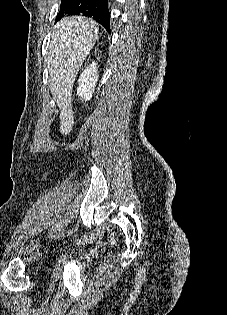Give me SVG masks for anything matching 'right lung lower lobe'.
<instances>
[{"mask_svg":"<svg viewBox=\"0 0 227 315\" xmlns=\"http://www.w3.org/2000/svg\"><path fill=\"white\" fill-rule=\"evenodd\" d=\"M72 15L91 17L110 32L108 0H61L56 22L63 17Z\"/></svg>","mask_w":227,"mask_h":315,"instance_id":"98d812e1","label":"right lung lower lobe"}]
</instances>
